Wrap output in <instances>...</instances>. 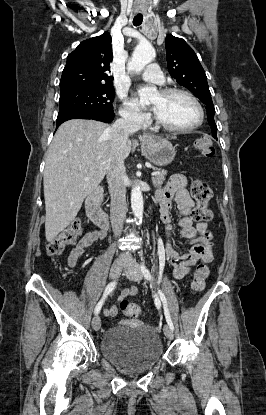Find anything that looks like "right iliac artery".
<instances>
[{
	"label": "right iliac artery",
	"mask_w": 266,
	"mask_h": 415,
	"mask_svg": "<svg viewBox=\"0 0 266 415\" xmlns=\"http://www.w3.org/2000/svg\"><path fill=\"white\" fill-rule=\"evenodd\" d=\"M116 284H117V282H116V281H113V282H110V283L107 285V287H106V289H105V291H104L103 297L101 298V300L98 302V304L96 305V307H95V309H94V313H95V315H97V314L100 312V310H101V308H102V305H103V303H104V301H105L106 297L108 296V294H109L110 292H112V291L115 289Z\"/></svg>",
	"instance_id": "obj_1"
}]
</instances>
